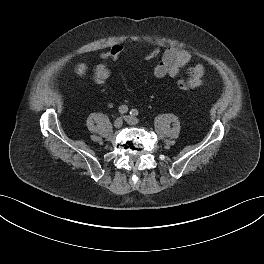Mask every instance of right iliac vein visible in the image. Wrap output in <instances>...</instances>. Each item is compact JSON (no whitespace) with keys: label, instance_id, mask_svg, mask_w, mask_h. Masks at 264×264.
I'll list each match as a JSON object with an SVG mask.
<instances>
[{"label":"right iliac vein","instance_id":"right-iliac-vein-1","mask_svg":"<svg viewBox=\"0 0 264 264\" xmlns=\"http://www.w3.org/2000/svg\"><path fill=\"white\" fill-rule=\"evenodd\" d=\"M123 124V120L122 118H117L115 121H114V127L115 128H120Z\"/></svg>","mask_w":264,"mask_h":264}]
</instances>
